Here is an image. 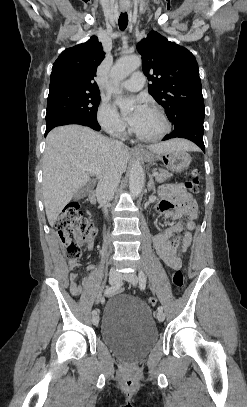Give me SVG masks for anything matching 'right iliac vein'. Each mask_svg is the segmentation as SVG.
Listing matches in <instances>:
<instances>
[{"mask_svg": "<svg viewBox=\"0 0 247 407\" xmlns=\"http://www.w3.org/2000/svg\"><path fill=\"white\" fill-rule=\"evenodd\" d=\"M121 280V275L119 272H117V270L115 268L110 270L109 273V282L112 285H115L117 283H119ZM92 323L97 326L99 323V316L98 315H94L92 318Z\"/></svg>", "mask_w": 247, "mask_h": 407, "instance_id": "63e3f726", "label": "right iliac vein"}]
</instances>
